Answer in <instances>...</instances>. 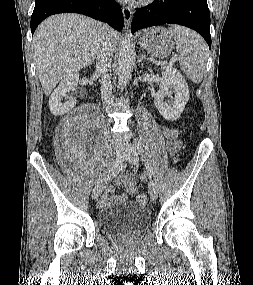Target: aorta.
I'll return each instance as SVG.
<instances>
[{
    "label": "aorta",
    "instance_id": "1",
    "mask_svg": "<svg viewBox=\"0 0 253 285\" xmlns=\"http://www.w3.org/2000/svg\"><path fill=\"white\" fill-rule=\"evenodd\" d=\"M133 47L129 37H125L118 57V84L124 86L131 76V68L133 62Z\"/></svg>",
    "mask_w": 253,
    "mask_h": 285
}]
</instances>
